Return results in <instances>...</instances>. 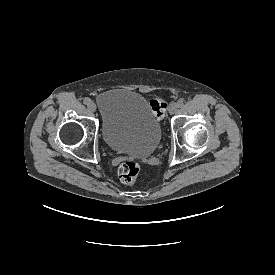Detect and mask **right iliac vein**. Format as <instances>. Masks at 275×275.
I'll return each instance as SVG.
<instances>
[{
  "label": "right iliac vein",
  "mask_w": 275,
  "mask_h": 275,
  "mask_svg": "<svg viewBox=\"0 0 275 275\" xmlns=\"http://www.w3.org/2000/svg\"><path fill=\"white\" fill-rule=\"evenodd\" d=\"M89 109H90L91 111H93V112H95V111H96V105H95V103H94V102H91V103H90V105H89Z\"/></svg>",
  "instance_id": "right-iliac-vein-1"
}]
</instances>
